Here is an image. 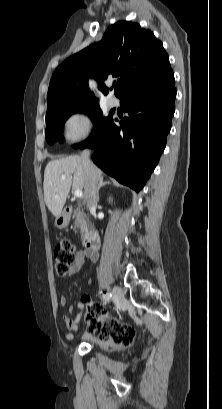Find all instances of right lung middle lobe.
<instances>
[{"mask_svg":"<svg viewBox=\"0 0 222 409\" xmlns=\"http://www.w3.org/2000/svg\"><path fill=\"white\" fill-rule=\"evenodd\" d=\"M75 112H84L89 114L95 124V128L90 137L83 143L74 145L75 148L93 144L99 137L102 136L112 119V114L108 117L102 116V111L98 102L72 104L47 111L45 135L46 140L50 144H53L57 140H61L62 142L64 141V138L62 137L64 122Z\"/></svg>","mask_w":222,"mask_h":409,"instance_id":"obj_1","label":"right lung middle lobe"}]
</instances>
